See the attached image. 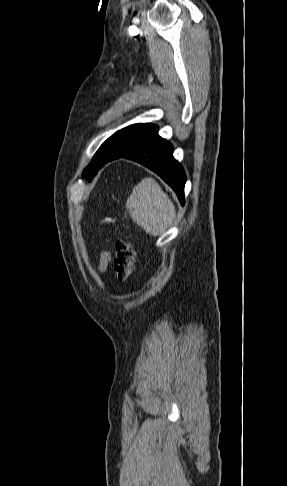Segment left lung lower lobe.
<instances>
[{
    "instance_id": "0a47b994",
    "label": "left lung lower lobe",
    "mask_w": 287,
    "mask_h": 486,
    "mask_svg": "<svg viewBox=\"0 0 287 486\" xmlns=\"http://www.w3.org/2000/svg\"><path fill=\"white\" fill-rule=\"evenodd\" d=\"M173 147L158 135V130L141 146L122 156H115L102 164L116 159L127 158L134 160L157 173L176 192L180 202L184 205V185L186 176L180 164L173 158Z\"/></svg>"
}]
</instances>
